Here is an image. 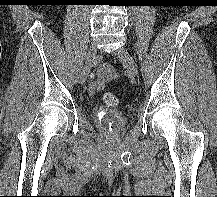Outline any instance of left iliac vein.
Segmentation results:
<instances>
[{"instance_id":"obj_1","label":"left iliac vein","mask_w":217,"mask_h":197,"mask_svg":"<svg viewBox=\"0 0 217 197\" xmlns=\"http://www.w3.org/2000/svg\"><path fill=\"white\" fill-rule=\"evenodd\" d=\"M115 56L124 64V66L127 68V71L130 75L136 76L137 75V65L132 58V56L129 54V52L124 49L120 48L115 53Z\"/></svg>"}]
</instances>
